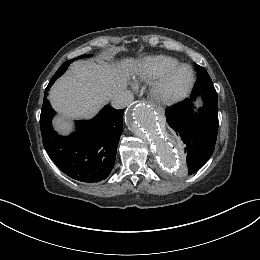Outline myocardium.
<instances>
[{
  "instance_id": "myocardium-1",
  "label": "myocardium",
  "mask_w": 260,
  "mask_h": 260,
  "mask_svg": "<svg viewBox=\"0 0 260 260\" xmlns=\"http://www.w3.org/2000/svg\"><path fill=\"white\" fill-rule=\"evenodd\" d=\"M188 68L190 71V80L189 82L179 90H171L169 88V81L171 76L175 71L180 68ZM195 81V73L193 68L186 63H177L167 69L163 74H161L152 87V95L155 99L162 102H175L182 99L187 93L191 90Z\"/></svg>"
}]
</instances>
